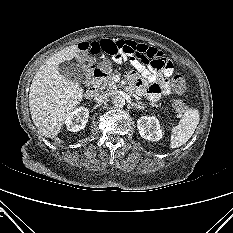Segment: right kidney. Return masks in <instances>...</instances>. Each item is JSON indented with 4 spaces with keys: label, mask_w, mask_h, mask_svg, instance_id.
<instances>
[{
    "label": "right kidney",
    "mask_w": 233,
    "mask_h": 233,
    "mask_svg": "<svg viewBox=\"0 0 233 233\" xmlns=\"http://www.w3.org/2000/svg\"><path fill=\"white\" fill-rule=\"evenodd\" d=\"M89 111L85 107H79L74 110L66 119L67 129L71 132H77L84 129L88 121Z\"/></svg>",
    "instance_id": "obj_1"
}]
</instances>
